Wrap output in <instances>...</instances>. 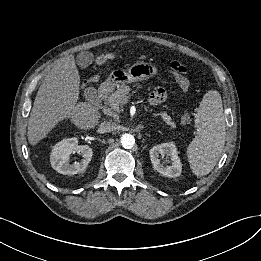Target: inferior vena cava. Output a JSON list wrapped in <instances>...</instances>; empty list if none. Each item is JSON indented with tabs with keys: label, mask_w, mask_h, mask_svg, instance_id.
Segmentation results:
<instances>
[{
	"label": "inferior vena cava",
	"mask_w": 261,
	"mask_h": 261,
	"mask_svg": "<svg viewBox=\"0 0 261 261\" xmlns=\"http://www.w3.org/2000/svg\"><path fill=\"white\" fill-rule=\"evenodd\" d=\"M114 126L110 122H102L99 126V132L100 133H106V132H111L113 131Z\"/></svg>",
	"instance_id": "602c4592"
}]
</instances>
